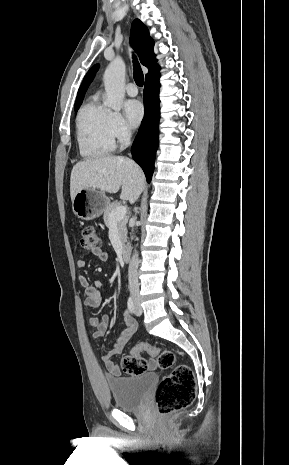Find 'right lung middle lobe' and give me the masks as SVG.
Masks as SVG:
<instances>
[{"mask_svg": "<svg viewBox=\"0 0 289 465\" xmlns=\"http://www.w3.org/2000/svg\"><path fill=\"white\" fill-rule=\"evenodd\" d=\"M82 101H78V102H75V111L78 110V108L80 107Z\"/></svg>", "mask_w": 289, "mask_h": 465, "instance_id": "dd1d6c3e", "label": "right lung middle lobe"}]
</instances>
